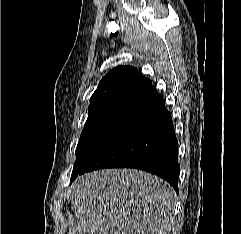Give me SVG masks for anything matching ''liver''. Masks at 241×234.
<instances>
[{"label":"liver","mask_w":241,"mask_h":234,"mask_svg":"<svg viewBox=\"0 0 241 234\" xmlns=\"http://www.w3.org/2000/svg\"><path fill=\"white\" fill-rule=\"evenodd\" d=\"M75 220L69 234H167L176 194L159 177L135 169H105L71 186Z\"/></svg>","instance_id":"obj_1"}]
</instances>
